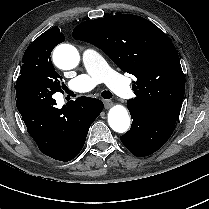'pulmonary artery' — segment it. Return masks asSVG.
I'll return each instance as SVG.
<instances>
[{"label":"pulmonary artery","instance_id":"pulmonary-artery-1","mask_svg":"<svg viewBox=\"0 0 209 209\" xmlns=\"http://www.w3.org/2000/svg\"><path fill=\"white\" fill-rule=\"evenodd\" d=\"M82 60L86 72L70 81L71 90L85 93L91 91L98 83L105 82L119 97H132L133 92L129 85L109 68L96 49H85L82 52Z\"/></svg>","mask_w":209,"mask_h":209}]
</instances>
